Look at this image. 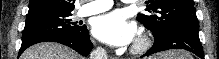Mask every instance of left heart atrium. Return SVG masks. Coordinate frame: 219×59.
Returning a JSON list of instances; mask_svg holds the SVG:
<instances>
[{
    "label": "left heart atrium",
    "instance_id": "obj_1",
    "mask_svg": "<svg viewBox=\"0 0 219 59\" xmlns=\"http://www.w3.org/2000/svg\"><path fill=\"white\" fill-rule=\"evenodd\" d=\"M93 35L102 42L120 46L130 43L136 32L134 24L127 22L119 11L97 17L92 26Z\"/></svg>",
    "mask_w": 219,
    "mask_h": 59
}]
</instances>
